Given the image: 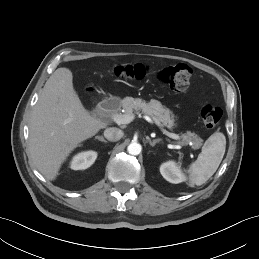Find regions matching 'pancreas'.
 Segmentation results:
<instances>
[{
  "instance_id": "pancreas-1",
  "label": "pancreas",
  "mask_w": 259,
  "mask_h": 259,
  "mask_svg": "<svg viewBox=\"0 0 259 259\" xmlns=\"http://www.w3.org/2000/svg\"><path fill=\"white\" fill-rule=\"evenodd\" d=\"M120 106L124 109L125 114H132L133 112L138 113L141 111L150 116L156 124H162L169 127L174 125L171 112L164 108L157 100H151L149 103H146L140 98L125 97L120 101ZM181 138V145H188L191 143L192 148L194 149L200 148L203 142L198 135L190 131L182 134Z\"/></svg>"
}]
</instances>
